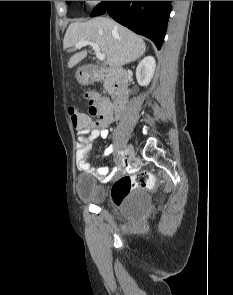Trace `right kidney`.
Instances as JSON below:
<instances>
[{"label": "right kidney", "mask_w": 233, "mask_h": 295, "mask_svg": "<svg viewBox=\"0 0 233 295\" xmlns=\"http://www.w3.org/2000/svg\"><path fill=\"white\" fill-rule=\"evenodd\" d=\"M156 61L152 56L145 57L136 68V78L141 86L149 85L155 71Z\"/></svg>", "instance_id": "1"}]
</instances>
